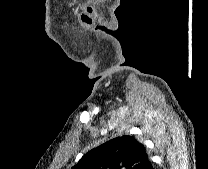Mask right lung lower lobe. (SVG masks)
Here are the masks:
<instances>
[{
  "label": "right lung lower lobe",
  "mask_w": 208,
  "mask_h": 169,
  "mask_svg": "<svg viewBox=\"0 0 208 169\" xmlns=\"http://www.w3.org/2000/svg\"><path fill=\"white\" fill-rule=\"evenodd\" d=\"M149 169H153L152 165H151V167Z\"/></svg>",
  "instance_id": "obj_1"
}]
</instances>
